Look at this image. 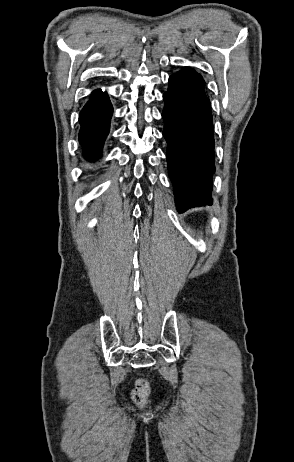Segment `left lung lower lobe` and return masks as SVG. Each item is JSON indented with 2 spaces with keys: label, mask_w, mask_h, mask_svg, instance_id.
Returning <instances> with one entry per match:
<instances>
[{
  "label": "left lung lower lobe",
  "mask_w": 294,
  "mask_h": 462,
  "mask_svg": "<svg viewBox=\"0 0 294 462\" xmlns=\"http://www.w3.org/2000/svg\"><path fill=\"white\" fill-rule=\"evenodd\" d=\"M204 87L201 75L185 67L170 76L169 88L163 95V136L179 212L212 204L214 134Z\"/></svg>",
  "instance_id": "left-lung-lower-lobe-1"
}]
</instances>
